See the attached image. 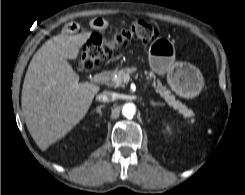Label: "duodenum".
I'll use <instances>...</instances> for the list:
<instances>
[{
    "mask_svg": "<svg viewBox=\"0 0 245 195\" xmlns=\"http://www.w3.org/2000/svg\"><path fill=\"white\" fill-rule=\"evenodd\" d=\"M111 77L110 71H103L96 76V82L101 84L107 81Z\"/></svg>",
    "mask_w": 245,
    "mask_h": 195,
    "instance_id": "410a0bca",
    "label": "duodenum"
}]
</instances>
